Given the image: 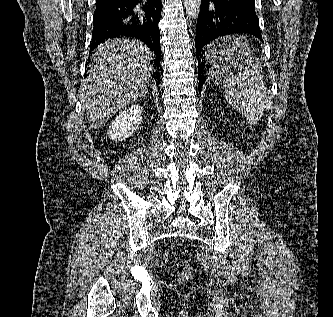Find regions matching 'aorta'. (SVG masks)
I'll use <instances>...</instances> for the list:
<instances>
[{
	"label": "aorta",
	"instance_id": "1",
	"mask_svg": "<svg viewBox=\"0 0 333 317\" xmlns=\"http://www.w3.org/2000/svg\"><path fill=\"white\" fill-rule=\"evenodd\" d=\"M183 3L188 17L193 19L197 18L200 11L201 0H183Z\"/></svg>",
	"mask_w": 333,
	"mask_h": 317
}]
</instances>
